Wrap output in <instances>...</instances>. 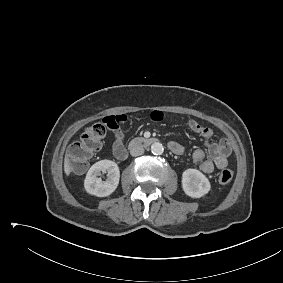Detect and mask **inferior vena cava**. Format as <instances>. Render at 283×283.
<instances>
[{"label": "inferior vena cava", "instance_id": "602c4592", "mask_svg": "<svg viewBox=\"0 0 283 283\" xmlns=\"http://www.w3.org/2000/svg\"><path fill=\"white\" fill-rule=\"evenodd\" d=\"M144 153V148L142 146H134L130 150V154L133 157L140 156Z\"/></svg>", "mask_w": 283, "mask_h": 283}]
</instances>
